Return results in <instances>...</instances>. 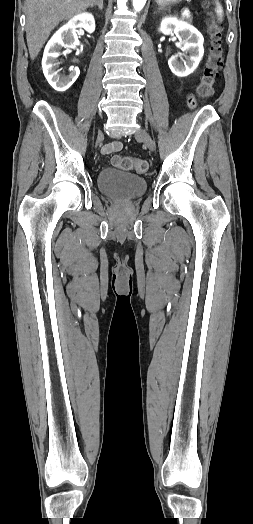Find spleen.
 Wrapping results in <instances>:
<instances>
[{
    "instance_id": "obj_1",
    "label": "spleen",
    "mask_w": 253,
    "mask_h": 524,
    "mask_svg": "<svg viewBox=\"0 0 253 524\" xmlns=\"http://www.w3.org/2000/svg\"><path fill=\"white\" fill-rule=\"evenodd\" d=\"M216 13H217V15L219 17H222V15H223V9H222V7H221L219 2H217Z\"/></svg>"
}]
</instances>
